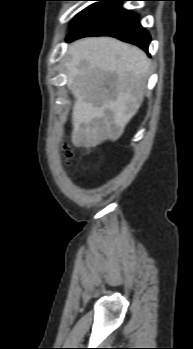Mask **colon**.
I'll use <instances>...</instances> for the list:
<instances>
[{
  "label": "colon",
  "instance_id": "colon-1",
  "mask_svg": "<svg viewBox=\"0 0 193 349\" xmlns=\"http://www.w3.org/2000/svg\"><path fill=\"white\" fill-rule=\"evenodd\" d=\"M63 156H64V159L65 161L67 162V164H69L71 158H72V153L70 150H68L67 148H65L63 150Z\"/></svg>",
  "mask_w": 193,
  "mask_h": 349
}]
</instances>
